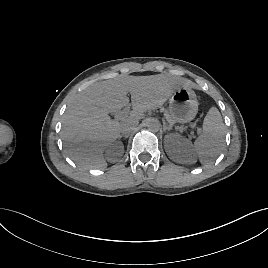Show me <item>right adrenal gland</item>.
Returning a JSON list of instances; mask_svg holds the SVG:
<instances>
[{
	"instance_id": "2a0ac1e0",
	"label": "right adrenal gland",
	"mask_w": 268,
	"mask_h": 268,
	"mask_svg": "<svg viewBox=\"0 0 268 268\" xmlns=\"http://www.w3.org/2000/svg\"><path fill=\"white\" fill-rule=\"evenodd\" d=\"M122 136H119V138H121ZM125 138H127V136H125Z\"/></svg>"
}]
</instances>
